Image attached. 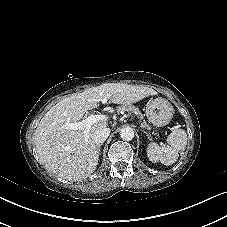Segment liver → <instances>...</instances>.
Masks as SVG:
<instances>
[{
	"instance_id": "1",
	"label": "liver",
	"mask_w": 227,
	"mask_h": 227,
	"mask_svg": "<svg viewBox=\"0 0 227 227\" xmlns=\"http://www.w3.org/2000/svg\"><path fill=\"white\" fill-rule=\"evenodd\" d=\"M149 87L111 83L75 93L54 105L41 119L34 132V142L40 162L45 169L68 181L90 176L98 165V145L93 139L96 130L105 128L99 121L88 130L66 128L77 123L101 101L131 105L145 97L156 95Z\"/></svg>"
}]
</instances>
